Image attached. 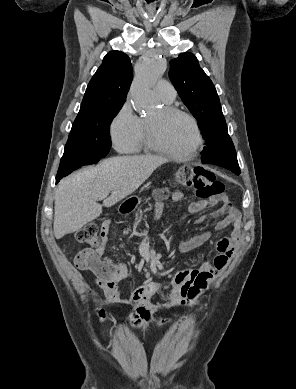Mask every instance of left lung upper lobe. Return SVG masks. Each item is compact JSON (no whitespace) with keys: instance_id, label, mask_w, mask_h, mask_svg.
<instances>
[{"instance_id":"obj_1","label":"left lung upper lobe","mask_w":296,"mask_h":389,"mask_svg":"<svg viewBox=\"0 0 296 389\" xmlns=\"http://www.w3.org/2000/svg\"><path fill=\"white\" fill-rule=\"evenodd\" d=\"M169 78L184 104L198 120L205 146L210 145L214 136L226 128L212 81L200 68L195 55L189 52L170 60Z\"/></svg>"}]
</instances>
